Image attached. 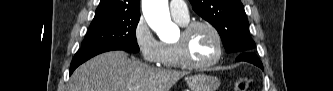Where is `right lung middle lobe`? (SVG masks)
I'll return each mask as SVG.
<instances>
[{"label": "right lung middle lobe", "mask_w": 333, "mask_h": 91, "mask_svg": "<svg viewBox=\"0 0 333 91\" xmlns=\"http://www.w3.org/2000/svg\"><path fill=\"white\" fill-rule=\"evenodd\" d=\"M139 19L140 14L94 18L81 49L116 48L137 53L139 46L135 30Z\"/></svg>", "instance_id": "dd1d6c3e"}]
</instances>
